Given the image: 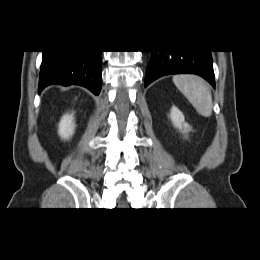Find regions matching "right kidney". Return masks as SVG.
<instances>
[{
    "mask_svg": "<svg viewBox=\"0 0 260 260\" xmlns=\"http://www.w3.org/2000/svg\"><path fill=\"white\" fill-rule=\"evenodd\" d=\"M75 129V123H74V117L71 114H65L61 118V121L59 123V130L58 133L62 139L68 140L74 133Z\"/></svg>",
    "mask_w": 260,
    "mask_h": 260,
    "instance_id": "ca27d5eb",
    "label": "right kidney"
}]
</instances>
